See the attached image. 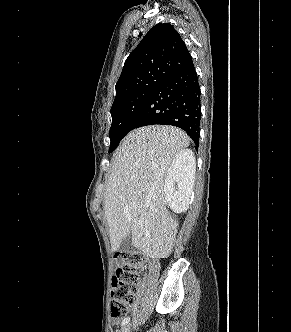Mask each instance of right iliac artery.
<instances>
[{
	"label": "right iliac artery",
	"mask_w": 291,
	"mask_h": 332,
	"mask_svg": "<svg viewBox=\"0 0 291 332\" xmlns=\"http://www.w3.org/2000/svg\"><path fill=\"white\" fill-rule=\"evenodd\" d=\"M130 321V317H126L123 319L121 326H125Z\"/></svg>",
	"instance_id": "obj_1"
}]
</instances>
